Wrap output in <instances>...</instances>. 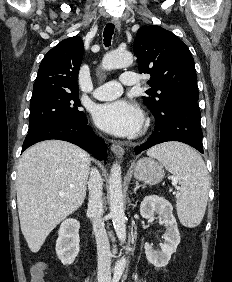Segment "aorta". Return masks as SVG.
<instances>
[{"instance_id": "1", "label": "aorta", "mask_w": 232, "mask_h": 282, "mask_svg": "<svg viewBox=\"0 0 232 282\" xmlns=\"http://www.w3.org/2000/svg\"><path fill=\"white\" fill-rule=\"evenodd\" d=\"M133 63V55L126 50H114L104 56L102 68L112 70L128 67ZM110 216L112 217L116 235L121 243L126 241V217L124 212V196L120 162L116 161L110 171L109 178ZM127 264L126 258L117 261L114 272L122 274Z\"/></svg>"}]
</instances>
